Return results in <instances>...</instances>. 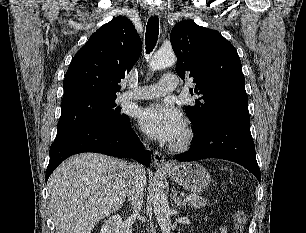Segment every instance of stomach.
I'll return each instance as SVG.
<instances>
[{"label": "stomach", "mask_w": 306, "mask_h": 233, "mask_svg": "<svg viewBox=\"0 0 306 233\" xmlns=\"http://www.w3.org/2000/svg\"><path fill=\"white\" fill-rule=\"evenodd\" d=\"M165 172L173 181L193 193L205 191L211 181L209 172L194 161L174 165Z\"/></svg>", "instance_id": "1"}]
</instances>
